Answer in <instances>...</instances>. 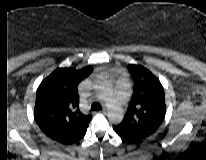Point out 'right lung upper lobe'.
Here are the masks:
<instances>
[{
    "label": "right lung upper lobe",
    "instance_id": "1",
    "mask_svg": "<svg viewBox=\"0 0 206 160\" xmlns=\"http://www.w3.org/2000/svg\"><path fill=\"white\" fill-rule=\"evenodd\" d=\"M80 81L72 69L62 68L54 71L37 90L36 121L47 136L63 144L80 140L92 119L78 108Z\"/></svg>",
    "mask_w": 206,
    "mask_h": 160
}]
</instances>
